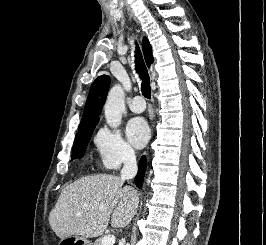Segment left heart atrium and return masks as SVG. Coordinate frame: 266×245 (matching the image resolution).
<instances>
[{"mask_svg":"<svg viewBox=\"0 0 266 245\" xmlns=\"http://www.w3.org/2000/svg\"><path fill=\"white\" fill-rule=\"evenodd\" d=\"M126 137L136 148L142 147L149 139V128L142 118H133L126 125Z\"/></svg>","mask_w":266,"mask_h":245,"instance_id":"1","label":"left heart atrium"}]
</instances>
